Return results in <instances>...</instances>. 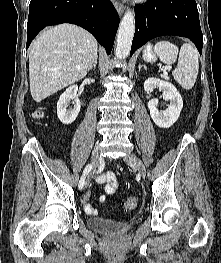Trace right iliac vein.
<instances>
[{
  "label": "right iliac vein",
  "mask_w": 221,
  "mask_h": 263,
  "mask_svg": "<svg viewBox=\"0 0 221 263\" xmlns=\"http://www.w3.org/2000/svg\"><path fill=\"white\" fill-rule=\"evenodd\" d=\"M99 146L95 145L93 151H92V155H91V164H92V171H94L99 163ZM91 177L92 175L90 174L86 180V186L89 185L90 181H91Z\"/></svg>",
  "instance_id": "1"
}]
</instances>
